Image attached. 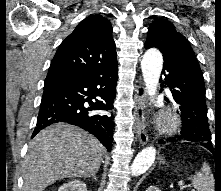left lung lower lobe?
Instances as JSON below:
<instances>
[{
  "label": "left lung lower lobe",
  "mask_w": 221,
  "mask_h": 191,
  "mask_svg": "<svg viewBox=\"0 0 221 191\" xmlns=\"http://www.w3.org/2000/svg\"><path fill=\"white\" fill-rule=\"evenodd\" d=\"M162 74L165 76L162 87L164 84L169 87L182 120L180 135L167 140L198 142L208 137L210 130L205 104V86L203 74L195 55L185 54L176 63L164 61Z\"/></svg>",
  "instance_id": "1"
}]
</instances>
